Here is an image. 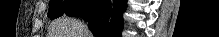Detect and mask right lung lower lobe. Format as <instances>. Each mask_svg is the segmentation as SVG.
<instances>
[{
  "instance_id": "obj_1",
  "label": "right lung lower lobe",
  "mask_w": 219,
  "mask_h": 37,
  "mask_svg": "<svg viewBox=\"0 0 219 37\" xmlns=\"http://www.w3.org/2000/svg\"><path fill=\"white\" fill-rule=\"evenodd\" d=\"M127 0H83L69 16L84 17L95 37H121Z\"/></svg>"
}]
</instances>
